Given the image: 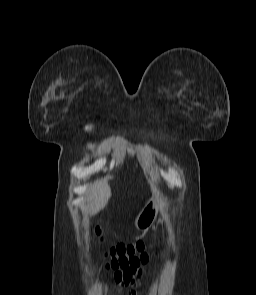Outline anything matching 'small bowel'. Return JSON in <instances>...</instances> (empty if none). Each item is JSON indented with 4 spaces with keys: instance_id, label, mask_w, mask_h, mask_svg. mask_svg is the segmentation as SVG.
Masks as SVG:
<instances>
[{
    "instance_id": "1",
    "label": "small bowel",
    "mask_w": 256,
    "mask_h": 295,
    "mask_svg": "<svg viewBox=\"0 0 256 295\" xmlns=\"http://www.w3.org/2000/svg\"><path fill=\"white\" fill-rule=\"evenodd\" d=\"M143 271L141 269H125L114 273V281L120 287H129V295H136L142 285Z\"/></svg>"
}]
</instances>
